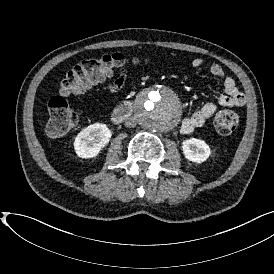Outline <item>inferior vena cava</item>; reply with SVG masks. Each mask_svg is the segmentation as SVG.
I'll use <instances>...</instances> for the list:
<instances>
[{
  "instance_id": "obj_1",
  "label": "inferior vena cava",
  "mask_w": 274,
  "mask_h": 274,
  "mask_svg": "<svg viewBox=\"0 0 274 274\" xmlns=\"http://www.w3.org/2000/svg\"><path fill=\"white\" fill-rule=\"evenodd\" d=\"M137 124V119L136 118H128L125 120V125L128 128H134Z\"/></svg>"
}]
</instances>
